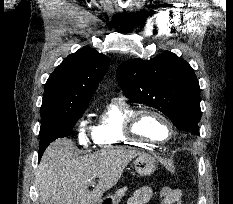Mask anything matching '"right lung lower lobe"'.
I'll return each instance as SVG.
<instances>
[{
  "mask_svg": "<svg viewBox=\"0 0 233 204\" xmlns=\"http://www.w3.org/2000/svg\"><path fill=\"white\" fill-rule=\"evenodd\" d=\"M48 146V145H47ZM47 146L40 147L38 159L40 160Z\"/></svg>",
  "mask_w": 233,
  "mask_h": 204,
  "instance_id": "right-lung-lower-lobe-1",
  "label": "right lung lower lobe"
}]
</instances>
